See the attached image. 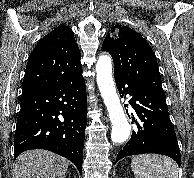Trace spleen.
<instances>
[{
    "label": "spleen",
    "mask_w": 194,
    "mask_h": 178,
    "mask_svg": "<svg viewBox=\"0 0 194 178\" xmlns=\"http://www.w3.org/2000/svg\"><path fill=\"white\" fill-rule=\"evenodd\" d=\"M136 178H178V167L169 157L144 154L132 158Z\"/></svg>",
    "instance_id": "spleen-1"
}]
</instances>
